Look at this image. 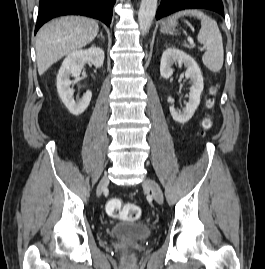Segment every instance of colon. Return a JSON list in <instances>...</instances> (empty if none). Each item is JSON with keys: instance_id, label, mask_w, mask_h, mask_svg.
Segmentation results:
<instances>
[{"instance_id": "colon-1", "label": "colon", "mask_w": 265, "mask_h": 269, "mask_svg": "<svg viewBox=\"0 0 265 269\" xmlns=\"http://www.w3.org/2000/svg\"><path fill=\"white\" fill-rule=\"evenodd\" d=\"M215 93V89L211 90V95L213 96ZM214 105L213 97H210L207 100V106L212 107ZM210 122L205 121L204 127L209 128ZM106 211L107 213L115 218H122L126 221H135L140 216V209L136 204L133 203H123L120 199L112 198L109 199L106 203ZM123 266L125 269H133V261L130 257H127L124 262Z\"/></svg>"}]
</instances>
